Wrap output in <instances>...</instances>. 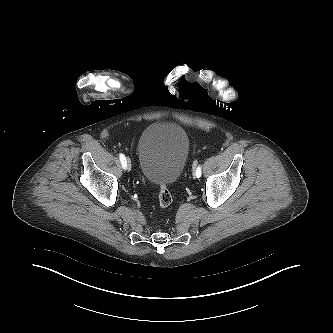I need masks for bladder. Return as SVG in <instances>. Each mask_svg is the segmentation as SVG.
<instances>
[{
	"instance_id": "1",
	"label": "bladder",
	"mask_w": 333,
	"mask_h": 333,
	"mask_svg": "<svg viewBox=\"0 0 333 333\" xmlns=\"http://www.w3.org/2000/svg\"><path fill=\"white\" fill-rule=\"evenodd\" d=\"M190 150L186 131L178 124L155 122L141 133L137 143L142 177L150 184L171 185L181 176Z\"/></svg>"
}]
</instances>
